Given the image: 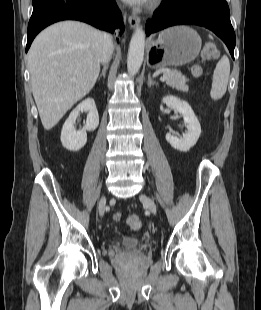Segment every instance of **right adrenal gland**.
<instances>
[{"label": "right adrenal gland", "instance_id": "obj_1", "mask_svg": "<svg viewBox=\"0 0 261 310\" xmlns=\"http://www.w3.org/2000/svg\"><path fill=\"white\" fill-rule=\"evenodd\" d=\"M107 69H108V66L105 65V66L103 67V69H102V73L99 75L98 78H100L101 76H103V78H105V77H106V71H107Z\"/></svg>", "mask_w": 261, "mask_h": 310}]
</instances>
